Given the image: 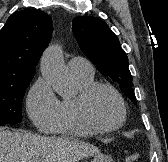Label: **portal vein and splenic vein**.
I'll list each match as a JSON object with an SVG mask.
<instances>
[{
    "label": "portal vein and splenic vein",
    "instance_id": "obj_1",
    "mask_svg": "<svg viewBox=\"0 0 168 162\" xmlns=\"http://www.w3.org/2000/svg\"><path fill=\"white\" fill-rule=\"evenodd\" d=\"M29 162H37L35 159H33V160H30Z\"/></svg>",
    "mask_w": 168,
    "mask_h": 162
}]
</instances>
